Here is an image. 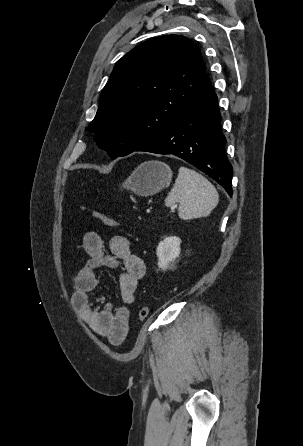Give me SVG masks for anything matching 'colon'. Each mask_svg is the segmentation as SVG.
Instances as JSON below:
<instances>
[{"label": "colon", "mask_w": 303, "mask_h": 446, "mask_svg": "<svg viewBox=\"0 0 303 446\" xmlns=\"http://www.w3.org/2000/svg\"><path fill=\"white\" fill-rule=\"evenodd\" d=\"M83 210H88L93 217L97 218L98 220H100L105 226L109 227V228H117L119 227V222L114 219L113 217L109 216L108 214H106L105 212L99 211V210H91L88 209L86 207H82ZM149 315V308L148 307H142L139 310L138 313V319L140 321L145 320Z\"/></svg>", "instance_id": "obj_1"}]
</instances>
